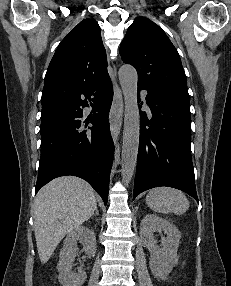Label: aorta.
I'll use <instances>...</instances> for the list:
<instances>
[{"label": "aorta", "instance_id": "obj_1", "mask_svg": "<svg viewBox=\"0 0 231 286\" xmlns=\"http://www.w3.org/2000/svg\"><path fill=\"white\" fill-rule=\"evenodd\" d=\"M124 96L125 113L121 171L123 181L130 183L137 163L140 135V115L137 102V72L131 65H123L118 72Z\"/></svg>", "mask_w": 231, "mask_h": 286}]
</instances>
